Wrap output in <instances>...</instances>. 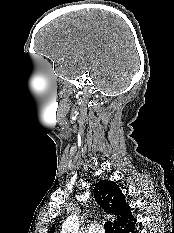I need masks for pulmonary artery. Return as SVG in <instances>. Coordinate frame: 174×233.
Segmentation results:
<instances>
[{
	"instance_id": "pulmonary-artery-1",
	"label": "pulmonary artery",
	"mask_w": 174,
	"mask_h": 233,
	"mask_svg": "<svg viewBox=\"0 0 174 233\" xmlns=\"http://www.w3.org/2000/svg\"><path fill=\"white\" fill-rule=\"evenodd\" d=\"M86 233H104V230L98 224H91L86 228Z\"/></svg>"
}]
</instances>
